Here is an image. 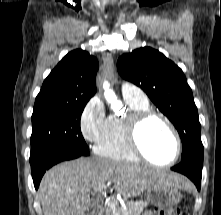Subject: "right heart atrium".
<instances>
[{
  "label": "right heart atrium",
  "instance_id": "1",
  "mask_svg": "<svg viewBox=\"0 0 221 215\" xmlns=\"http://www.w3.org/2000/svg\"><path fill=\"white\" fill-rule=\"evenodd\" d=\"M107 124L105 108L101 100L93 97L85 105L80 116V131L89 143H97L102 137Z\"/></svg>",
  "mask_w": 221,
  "mask_h": 215
}]
</instances>
